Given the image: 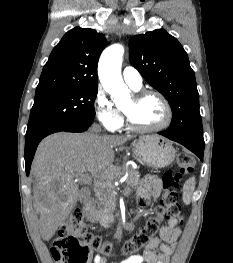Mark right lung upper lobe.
<instances>
[{
  "label": "right lung upper lobe",
  "mask_w": 233,
  "mask_h": 263,
  "mask_svg": "<svg viewBox=\"0 0 233 263\" xmlns=\"http://www.w3.org/2000/svg\"><path fill=\"white\" fill-rule=\"evenodd\" d=\"M105 46V36L94 29L76 27L68 31L44 65L35 95L97 86V64Z\"/></svg>",
  "instance_id": "obj_1"
}]
</instances>
